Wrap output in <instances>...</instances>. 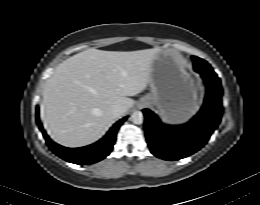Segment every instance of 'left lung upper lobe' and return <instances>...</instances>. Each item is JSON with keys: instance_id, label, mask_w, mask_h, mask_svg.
<instances>
[{"instance_id": "5c2ea615", "label": "left lung upper lobe", "mask_w": 260, "mask_h": 205, "mask_svg": "<svg viewBox=\"0 0 260 205\" xmlns=\"http://www.w3.org/2000/svg\"><path fill=\"white\" fill-rule=\"evenodd\" d=\"M194 69H206L208 71H213L211 66L203 59L193 56Z\"/></svg>"}]
</instances>
